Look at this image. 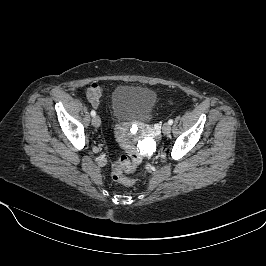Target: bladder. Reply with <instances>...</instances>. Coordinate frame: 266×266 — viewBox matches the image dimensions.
Masks as SVG:
<instances>
[{"label": "bladder", "instance_id": "31cf9c89", "mask_svg": "<svg viewBox=\"0 0 266 266\" xmlns=\"http://www.w3.org/2000/svg\"><path fill=\"white\" fill-rule=\"evenodd\" d=\"M156 94L149 88L136 85L116 87L110 99L113 117L116 121H146L153 113Z\"/></svg>", "mask_w": 266, "mask_h": 266}]
</instances>
